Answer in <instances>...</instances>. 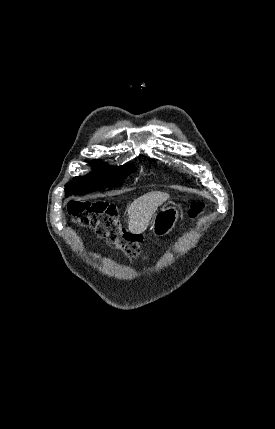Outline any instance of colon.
I'll return each mask as SVG.
<instances>
[{
	"instance_id": "5ec220e1",
	"label": "colon",
	"mask_w": 275,
	"mask_h": 429,
	"mask_svg": "<svg viewBox=\"0 0 275 429\" xmlns=\"http://www.w3.org/2000/svg\"><path fill=\"white\" fill-rule=\"evenodd\" d=\"M204 208L202 202L193 203L189 216L197 218ZM67 211L75 224L93 229L98 236L115 244L126 256L136 258L140 255L141 240L121 228L115 205L105 201H73L69 203Z\"/></svg>"
}]
</instances>
